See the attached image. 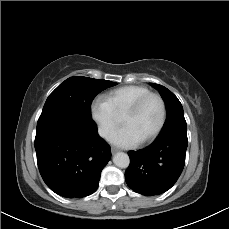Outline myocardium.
Listing matches in <instances>:
<instances>
[{
	"label": "myocardium",
	"mask_w": 229,
	"mask_h": 229,
	"mask_svg": "<svg viewBox=\"0 0 229 229\" xmlns=\"http://www.w3.org/2000/svg\"><path fill=\"white\" fill-rule=\"evenodd\" d=\"M154 97L156 98L160 105H161V120L160 123L158 125V127L156 128V130L149 135L148 137L142 139L140 141L139 144H137L136 146H133L132 148H137L140 147L141 145H144L146 143H150L153 140H155L158 135L161 133V131L163 130L165 123H166V117H167V109H166V103L164 101V99L162 98L161 95H159L158 93H154V92H148L144 95H142L141 97H139L137 100H135L125 111L123 117H122V126L125 125V123L133 116L137 113V111L140 109V107L143 105V103L148 99Z\"/></svg>",
	"instance_id": "obj_1"
}]
</instances>
